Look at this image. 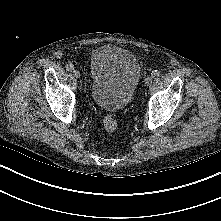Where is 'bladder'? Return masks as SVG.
I'll return each instance as SVG.
<instances>
[{
  "instance_id": "obj_1",
  "label": "bladder",
  "mask_w": 221,
  "mask_h": 221,
  "mask_svg": "<svg viewBox=\"0 0 221 221\" xmlns=\"http://www.w3.org/2000/svg\"><path fill=\"white\" fill-rule=\"evenodd\" d=\"M141 73L130 51L113 45L95 49L90 59L91 100L106 111L124 109L135 96Z\"/></svg>"
}]
</instances>
